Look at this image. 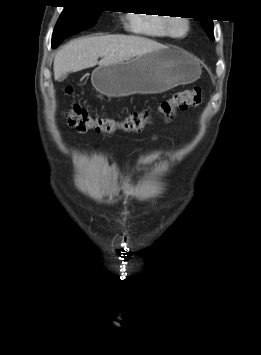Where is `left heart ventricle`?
Listing matches in <instances>:
<instances>
[{"mask_svg": "<svg viewBox=\"0 0 261 355\" xmlns=\"http://www.w3.org/2000/svg\"><path fill=\"white\" fill-rule=\"evenodd\" d=\"M174 32L177 34H181L184 32V25L181 22H178L174 26Z\"/></svg>", "mask_w": 261, "mask_h": 355, "instance_id": "left-heart-ventricle-1", "label": "left heart ventricle"}]
</instances>
